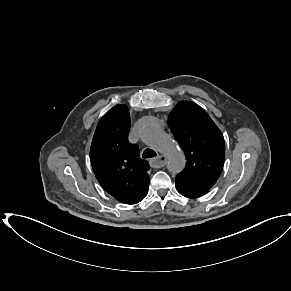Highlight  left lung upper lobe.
Instances as JSON below:
<instances>
[{"label":"left lung upper lobe","instance_id":"1","mask_svg":"<svg viewBox=\"0 0 291 291\" xmlns=\"http://www.w3.org/2000/svg\"><path fill=\"white\" fill-rule=\"evenodd\" d=\"M168 124L187 159L184 170L175 178L176 189L187 198H198L211 189L222 172L223 135L205 110L190 101L175 106Z\"/></svg>","mask_w":291,"mask_h":291}]
</instances>
